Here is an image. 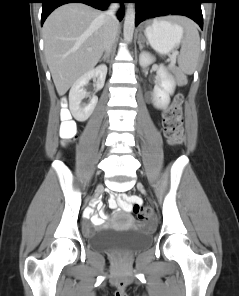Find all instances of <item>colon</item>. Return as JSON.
Listing matches in <instances>:
<instances>
[{
  "label": "colon",
  "instance_id": "1",
  "mask_svg": "<svg viewBox=\"0 0 239 296\" xmlns=\"http://www.w3.org/2000/svg\"><path fill=\"white\" fill-rule=\"evenodd\" d=\"M165 135L171 145H179L183 137V96L178 94L173 100L171 106L164 113ZM62 139L65 143L73 139L76 134V128L73 121L70 120L68 113H62L61 123ZM132 212L139 221H146L153 216L152 209L135 203Z\"/></svg>",
  "mask_w": 239,
  "mask_h": 296
}]
</instances>
